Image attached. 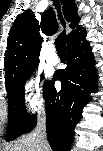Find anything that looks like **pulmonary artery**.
I'll return each mask as SVG.
<instances>
[{
    "label": "pulmonary artery",
    "mask_w": 103,
    "mask_h": 151,
    "mask_svg": "<svg viewBox=\"0 0 103 151\" xmlns=\"http://www.w3.org/2000/svg\"><path fill=\"white\" fill-rule=\"evenodd\" d=\"M46 59L51 65H55L58 63L59 59L57 54L55 53V48L53 45L48 46Z\"/></svg>",
    "instance_id": "1"
}]
</instances>
